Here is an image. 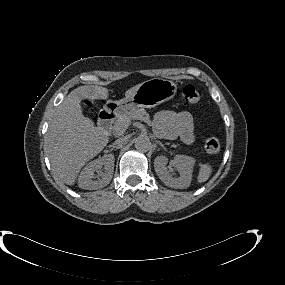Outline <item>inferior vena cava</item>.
<instances>
[{"label":"inferior vena cava","mask_w":285,"mask_h":285,"mask_svg":"<svg viewBox=\"0 0 285 285\" xmlns=\"http://www.w3.org/2000/svg\"><path fill=\"white\" fill-rule=\"evenodd\" d=\"M127 142V138L126 137H122V138H119L115 141V144L117 145H121V144H125Z\"/></svg>","instance_id":"602c4592"}]
</instances>
